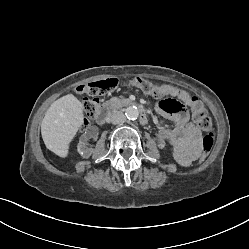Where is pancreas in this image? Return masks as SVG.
Segmentation results:
<instances>
[{
    "label": "pancreas",
    "mask_w": 249,
    "mask_h": 249,
    "mask_svg": "<svg viewBox=\"0 0 249 249\" xmlns=\"http://www.w3.org/2000/svg\"><path fill=\"white\" fill-rule=\"evenodd\" d=\"M115 100V99H114ZM125 101H129L128 99H124ZM113 101V100H112Z\"/></svg>",
    "instance_id": "cf45deb5"
}]
</instances>
